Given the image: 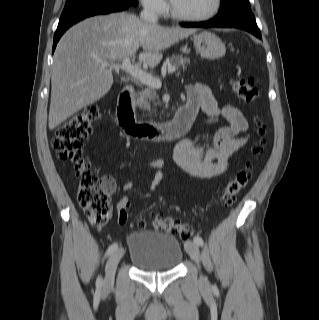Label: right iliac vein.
<instances>
[{
  "label": "right iliac vein",
  "instance_id": "right-iliac-vein-1",
  "mask_svg": "<svg viewBox=\"0 0 319 320\" xmlns=\"http://www.w3.org/2000/svg\"><path fill=\"white\" fill-rule=\"evenodd\" d=\"M124 254L123 248H117L110 256L106 265V275L103 282L105 288H110L114 282V275L119 261Z\"/></svg>",
  "mask_w": 319,
  "mask_h": 320
}]
</instances>
